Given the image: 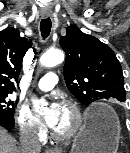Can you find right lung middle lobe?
<instances>
[{
	"label": "right lung middle lobe",
	"mask_w": 130,
	"mask_h": 153,
	"mask_svg": "<svg viewBox=\"0 0 130 153\" xmlns=\"http://www.w3.org/2000/svg\"><path fill=\"white\" fill-rule=\"evenodd\" d=\"M8 93H0V116L11 122L14 121V102L8 99Z\"/></svg>",
	"instance_id": "right-lung-middle-lobe-1"
}]
</instances>
